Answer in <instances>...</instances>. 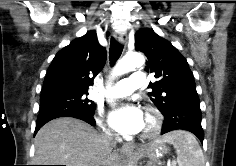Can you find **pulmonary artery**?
Listing matches in <instances>:
<instances>
[{
  "instance_id": "pulmonary-artery-1",
  "label": "pulmonary artery",
  "mask_w": 236,
  "mask_h": 166,
  "mask_svg": "<svg viewBox=\"0 0 236 166\" xmlns=\"http://www.w3.org/2000/svg\"><path fill=\"white\" fill-rule=\"evenodd\" d=\"M145 85V73L143 71H134L129 79H122L116 82L113 87L112 95L114 97H126L135 89Z\"/></svg>"
}]
</instances>
